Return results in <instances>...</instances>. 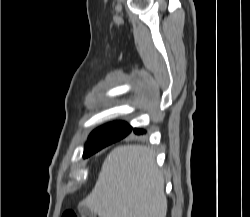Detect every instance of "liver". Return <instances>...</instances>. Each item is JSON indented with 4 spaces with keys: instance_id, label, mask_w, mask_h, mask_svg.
Here are the masks:
<instances>
[{
    "instance_id": "6515ba94",
    "label": "liver",
    "mask_w": 250,
    "mask_h": 217,
    "mask_svg": "<svg viewBox=\"0 0 250 217\" xmlns=\"http://www.w3.org/2000/svg\"><path fill=\"white\" fill-rule=\"evenodd\" d=\"M80 205L99 217H165L164 178L153 150L142 145L114 148Z\"/></svg>"
}]
</instances>
